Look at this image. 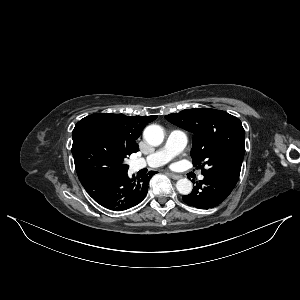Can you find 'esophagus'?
Returning <instances> with one entry per match:
<instances>
[{"mask_svg":"<svg viewBox=\"0 0 300 300\" xmlns=\"http://www.w3.org/2000/svg\"><path fill=\"white\" fill-rule=\"evenodd\" d=\"M169 176H170L172 179H174V180H178V179L181 178L180 175H177V174H174V173H169Z\"/></svg>","mask_w":300,"mask_h":300,"instance_id":"obj_1","label":"esophagus"}]
</instances>
